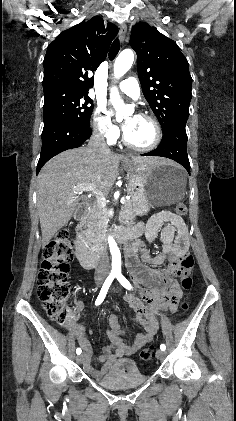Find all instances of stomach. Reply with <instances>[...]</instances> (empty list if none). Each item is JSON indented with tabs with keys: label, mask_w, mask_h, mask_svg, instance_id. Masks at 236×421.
<instances>
[{
	"label": "stomach",
	"mask_w": 236,
	"mask_h": 421,
	"mask_svg": "<svg viewBox=\"0 0 236 421\" xmlns=\"http://www.w3.org/2000/svg\"><path fill=\"white\" fill-rule=\"evenodd\" d=\"M123 162L130 178L127 190L135 215L142 217L150 211V206H168L184 198L186 172L181 166L166 162L136 166L130 158H124Z\"/></svg>",
	"instance_id": "0dacf381"
}]
</instances>
